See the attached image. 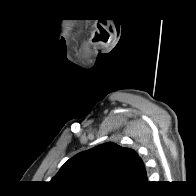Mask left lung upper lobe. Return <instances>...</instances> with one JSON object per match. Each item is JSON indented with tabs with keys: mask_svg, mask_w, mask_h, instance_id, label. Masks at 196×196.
Masks as SVG:
<instances>
[{
	"mask_svg": "<svg viewBox=\"0 0 196 196\" xmlns=\"http://www.w3.org/2000/svg\"><path fill=\"white\" fill-rule=\"evenodd\" d=\"M146 180L145 166L138 154L108 142L69 159L51 182L79 193L109 194L128 192Z\"/></svg>",
	"mask_w": 196,
	"mask_h": 196,
	"instance_id": "1",
	"label": "left lung upper lobe"
}]
</instances>
